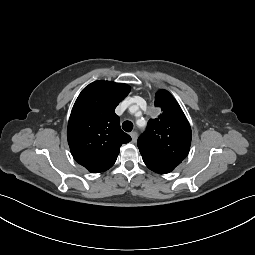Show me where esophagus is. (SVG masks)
<instances>
[{
	"label": "esophagus",
	"instance_id": "1",
	"mask_svg": "<svg viewBox=\"0 0 255 255\" xmlns=\"http://www.w3.org/2000/svg\"><path fill=\"white\" fill-rule=\"evenodd\" d=\"M130 136H131V138H132V142L135 143V142L137 141V137H138L137 132H135V131L131 132V133H130Z\"/></svg>",
	"mask_w": 255,
	"mask_h": 255
}]
</instances>
